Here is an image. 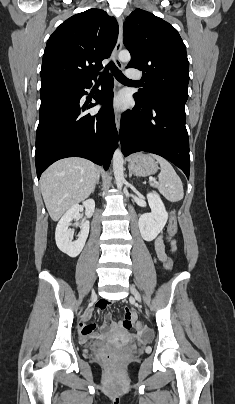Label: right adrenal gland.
Masks as SVG:
<instances>
[{"mask_svg": "<svg viewBox=\"0 0 235 404\" xmlns=\"http://www.w3.org/2000/svg\"><path fill=\"white\" fill-rule=\"evenodd\" d=\"M99 180H100V175H98L97 180H96V184H99Z\"/></svg>", "mask_w": 235, "mask_h": 404, "instance_id": "1", "label": "right adrenal gland"}]
</instances>
